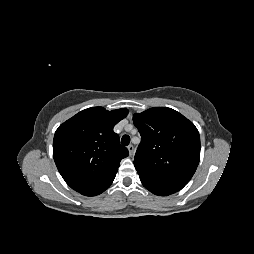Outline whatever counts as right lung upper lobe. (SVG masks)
Here are the masks:
<instances>
[{
	"label": "right lung upper lobe",
	"instance_id": "1",
	"mask_svg": "<svg viewBox=\"0 0 254 254\" xmlns=\"http://www.w3.org/2000/svg\"><path fill=\"white\" fill-rule=\"evenodd\" d=\"M128 114L126 108L108 111L92 107L61 124L53 140V157L59 173L72 189L103 181L117 173L128 156L114 126Z\"/></svg>",
	"mask_w": 254,
	"mask_h": 254
}]
</instances>
